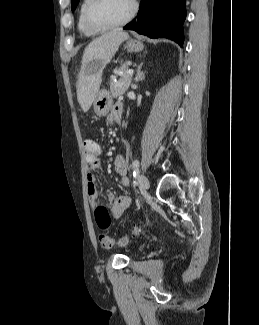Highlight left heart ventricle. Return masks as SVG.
Here are the masks:
<instances>
[{
  "label": "left heart ventricle",
  "mask_w": 259,
  "mask_h": 325,
  "mask_svg": "<svg viewBox=\"0 0 259 325\" xmlns=\"http://www.w3.org/2000/svg\"><path fill=\"white\" fill-rule=\"evenodd\" d=\"M132 0H101L92 17L100 23H112L123 19L131 10Z\"/></svg>",
  "instance_id": "obj_1"
}]
</instances>
